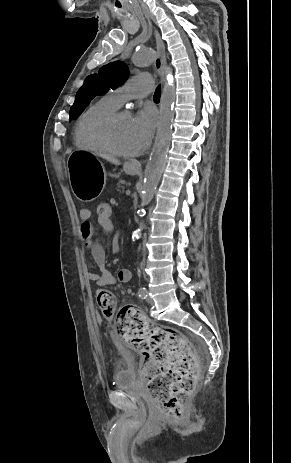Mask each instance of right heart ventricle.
<instances>
[{
	"label": "right heart ventricle",
	"instance_id": "e07e8e85",
	"mask_svg": "<svg viewBox=\"0 0 291 463\" xmlns=\"http://www.w3.org/2000/svg\"><path fill=\"white\" fill-rule=\"evenodd\" d=\"M118 107L119 106L111 100L109 94L89 105L79 116L74 127L73 137L76 146L90 151H101V149L89 139L88 128L94 120L117 110Z\"/></svg>",
	"mask_w": 291,
	"mask_h": 463
}]
</instances>
